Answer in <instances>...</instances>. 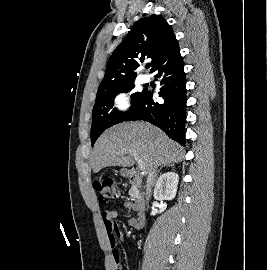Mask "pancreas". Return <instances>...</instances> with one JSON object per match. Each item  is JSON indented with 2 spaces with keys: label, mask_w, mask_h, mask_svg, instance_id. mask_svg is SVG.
<instances>
[{
  "label": "pancreas",
  "mask_w": 267,
  "mask_h": 270,
  "mask_svg": "<svg viewBox=\"0 0 267 270\" xmlns=\"http://www.w3.org/2000/svg\"><path fill=\"white\" fill-rule=\"evenodd\" d=\"M129 195L131 197V200L133 201H139L140 195L137 191V188L135 186H132L131 189L129 190Z\"/></svg>",
  "instance_id": "pancreas-1"
}]
</instances>
